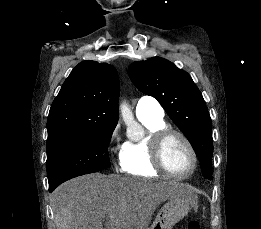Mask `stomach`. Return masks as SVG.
<instances>
[{"mask_svg":"<svg viewBox=\"0 0 261 229\" xmlns=\"http://www.w3.org/2000/svg\"><path fill=\"white\" fill-rule=\"evenodd\" d=\"M173 185L177 189H185L186 197L169 199V203H166L160 209L150 229H173V225H176L188 215L191 205L196 201V195H194L190 185H185V183H173Z\"/></svg>","mask_w":261,"mask_h":229,"instance_id":"1","label":"stomach"}]
</instances>
